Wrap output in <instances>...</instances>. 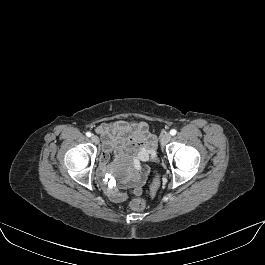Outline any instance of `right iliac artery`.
Here are the masks:
<instances>
[{
    "label": "right iliac artery",
    "instance_id": "right-iliac-artery-1",
    "mask_svg": "<svg viewBox=\"0 0 265 265\" xmlns=\"http://www.w3.org/2000/svg\"><path fill=\"white\" fill-rule=\"evenodd\" d=\"M86 136H87V137H91V136H92L91 132H87V133H86Z\"/></svg>",
    "mask_w": 265,
    "mask_h": 265
}]
</instances>
